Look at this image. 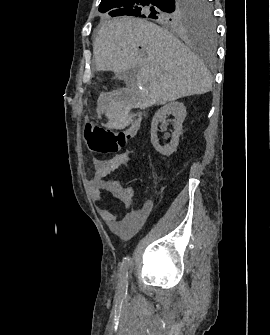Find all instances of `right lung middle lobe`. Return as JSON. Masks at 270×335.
I'll list each match as a JSON object with an SVG mask.
<instances>
[{
	"label": "right lung middle lobe",
	"mask_w": 270,
	"mask_h": 335,
	"mask_svg": "<svg viewBox=\"0 0 270 335\" xmlns=\"http://www.w3.org/2000/svg\"><path fill=\"white\" fill-rule=\"evenodd\" d=\"M105 17L137 16L169 29L195 34L210 43L215 35L213 9L209 0H102Z\"/></svg>",
	"instance_id": "dd1d6c3e"
}]
</instances>
